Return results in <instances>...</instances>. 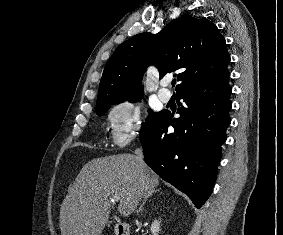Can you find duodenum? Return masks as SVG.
Masks as SVG:
<instances>
[{
	"instance_id": "obj_1",
	"label": "duodenum",
	"mask_w": 283,
	"mask_h": 235,
	"mask_svg": "<svg viewBox=\"0 0 283 235\" xmlns=\"http://www.w3.org/2000/svg\"><path fill=\"white\" fill-rule=\"evenodd\" d=\"M115 235H129V227L126 223H117L115 225Z\"/></svg>"
}]
</instances>
